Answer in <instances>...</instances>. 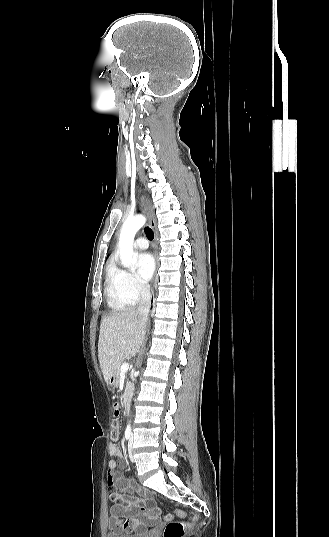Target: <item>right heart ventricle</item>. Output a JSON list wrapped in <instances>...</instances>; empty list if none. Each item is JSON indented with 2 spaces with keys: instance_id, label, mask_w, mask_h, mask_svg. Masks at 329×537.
I'll list each match as a JSON object with an SVG mask.
<instances>
[{
  "instance_id": "1",
  "label": "right heart ventricle",
  "mask_w": 329,
  "mask_h": 537,
  "mask_svg": "<svg viewBox=\"0 0 329 537\" xmlns=\"http://www.w3.org/2000/svg\"><path fill=\"white\" fill-rule=\"evenodd\" d=\"M105 294L109 307L114 311H121L132 306L135 302L129 300L119 289L117 270L110 267L107 271Z\"/></svg>"
}]
</instances>
